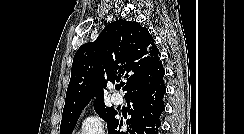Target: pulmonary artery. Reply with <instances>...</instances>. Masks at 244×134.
<instances>
[{"label": "pulmonary artery", "mask_w": 244, "mask_h": 134, "mask_svg": "<svg viewBox=\"0 0 244 134\" xmlns=\"http://www.w3.org/2000/svg\"><path fill=\"white\" fill-rule=\"evenodd\" d=\"M112 101H113L114 104L119 105V104L122 103L123 99H122L121 96H119V95H117V94H114V95L112 96Z\"/></svg>", "instance_id": "pulmonary-artery-1"}]
</instances>
